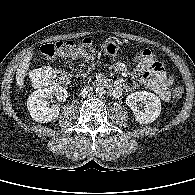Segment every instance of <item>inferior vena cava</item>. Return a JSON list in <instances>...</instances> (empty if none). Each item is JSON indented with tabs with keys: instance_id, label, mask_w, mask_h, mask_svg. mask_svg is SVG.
Listing matches in <instances>:
<instances>
[{
	"instance_id": "602c4592",
	"label": "inferior vena cava",
	"mask_w": 195,
	"mask_h": 195,
	"mask_svg": "<svg viewBox=\"0 0 195 195\" xmlns=\"http://www.w3.org/2000/svg\"><path fill=\"white\" fill-rule=\"evenodd\" d=\"M93 95V88L91 86H86L81 89L80 96L82 98H87Z\"/></svg>"
}]
</instances>
